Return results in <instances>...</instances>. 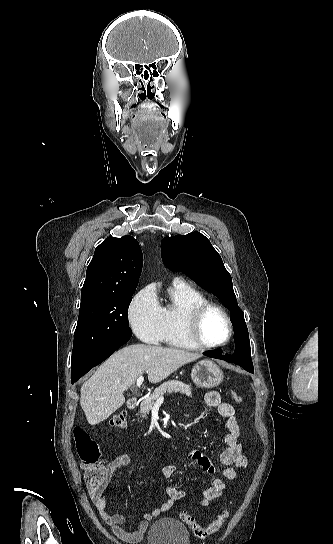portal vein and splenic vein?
Masks as SVG:
<instances>
[{"instance_id":"1","label":"portal vein and splenic vein","mask_w":333,"mask_h":544,"mask_svg":"<svg viewBox=\"0 0 333 544\" xmlns=\"http://www.w3.org/2000/svg\"><path fill=\"white\" fill-rule=\"evenodd\" d=\"M143 380H144V377L142 375L139 376L138 379H137V382H136V386L140 387L142 385V383H143ZM163 400H164L163 396H160L159 399H158L159 402H163Z\"/></svg>"}]
</instances>
